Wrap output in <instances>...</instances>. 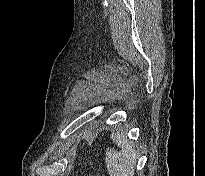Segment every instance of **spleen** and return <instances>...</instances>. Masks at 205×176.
<instances>
[{
    "label": "spleen",
    "instance_id": "obj_1",
    "mask_svg": "<svg viewBox=\"0 0 205 176\" xmlns=\"http://www.w3.org/2000/svg\"><path fill=\"white\" fill-rule=\"evenodd\" d=\"M113 142L120 151L108 149L105 162L110 176H133L137 154L134 144L122 134H112Z\"/></svg>",
    "mask_w": 205,
    "mask_h": 176
}]
</instances>
